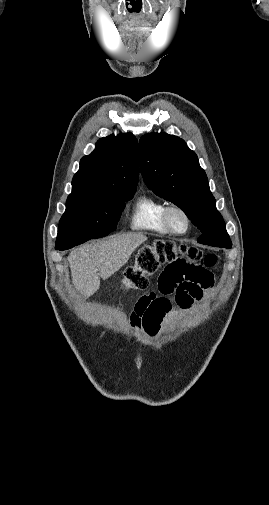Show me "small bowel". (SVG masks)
Instances as JSON below:
<instances>
[{"label": "small bowel", "mask_w": 269, "mask_h": 505, "mask_svg": "<svg viewBox=\"0 0 269 505\" xmlns=\"http://www.w3.org/2000/svg\"><path fill=\"white\" fill-rule=\"evenodd\" d=\"M212 270L204 262L192 259H170L157 275L158 285L142 297L131 315L133 326L142 325L150 335H155L165 319L173 311L176 298L180 308L188 310L195 300L203 296V290L211 291Z\"/></svg>", "instance_id": "obj_1"}]
</instances>
